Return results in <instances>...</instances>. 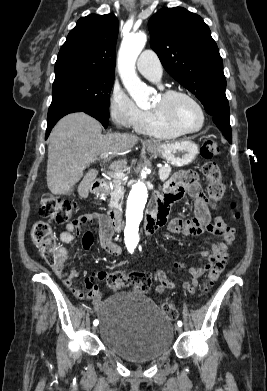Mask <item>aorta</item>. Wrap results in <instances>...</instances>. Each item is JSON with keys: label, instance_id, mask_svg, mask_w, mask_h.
Returning <instances> with one entry per match:
<instances>
[{"label": "aorta", "instance_id": "aorta-1", "mask_svg": "<svg viewBox=\"0 0 267 391\" xmlns=\"http://www.w3.org/2000/svg\"><path fill=\"white\" fill-rule=\"evenodd\" d=\"M146 42L147 35L143 31L127 34L123 38L118 54V67L123 85L138 106L145 105L150 99V88L135 72L136 60ZM147 197L146 184L139 179L132 186L127 200L125 241L130 249H134L139 241V227Z\"/></svg>", "mask_w": 267, "mask_h": 391}]
</instances>
